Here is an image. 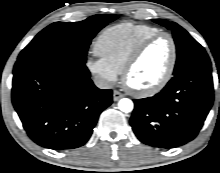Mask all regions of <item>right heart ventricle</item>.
<instances>
[{"label":"right heart ventricle","mask_w":220,"mask_h":173,"mask_svg":"<svg viewBox=\"0 0 220 173\" xmlns=\"http://www.w3.org/2000/svg\"><path fill=\"white\" fill-rule=\"evenodd\" d=\"M159 32L153 26L124 22L104 29L96 39V53L109 66L121 73L136 46Z\"/></svg>","instance_id":"obj_1"}]
</instances>
